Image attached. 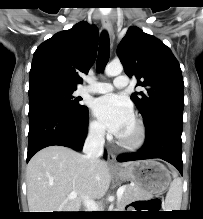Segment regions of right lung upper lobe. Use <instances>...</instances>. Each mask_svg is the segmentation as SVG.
I'll return each instance as SVG.
<instances>
[{
	"mask_svg": "<svg viewBox=\"0 0 203 219\" xmlns=\"http://www.w3.org/2000/svg\"><path fill=\"white\" fill-rule=\"evenodd\" d=\"M98 47V30L87 22L59 32L36 49L30 69L29 83L56 81L76 88L82 83L79 72L88 73Z\"/></svg>",
	"mask_w": 203,
	"mask_h": 219,
	"instance_id": "1",
	"label": "right lung upper lobe"
}]
</instances>
